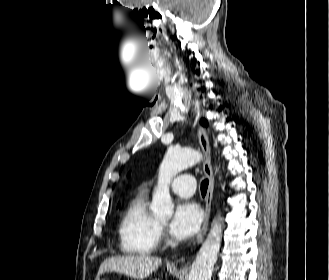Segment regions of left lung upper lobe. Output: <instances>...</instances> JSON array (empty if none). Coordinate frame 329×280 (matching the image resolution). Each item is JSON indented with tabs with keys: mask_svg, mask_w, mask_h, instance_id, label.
<instances>
[{
	"mask_svg": "<svg viewBox=\"0 0 329 280\" xmlns=\"http://www.w3.org/2000/svg\"><path fill=\"white\" fill-rule=\"evenodd\" d=\"M201 123L203 124V125H207V123L205 122V120H201Z\"/></svg>",
	"mask_w": 329,
	"mask_h": 280,
	"instance_id": "5c2ea615",
	"label": "left lung upper lobe"
}]
</instances>
